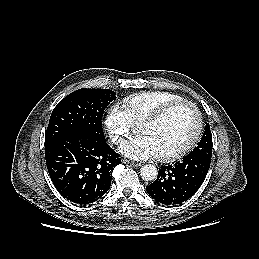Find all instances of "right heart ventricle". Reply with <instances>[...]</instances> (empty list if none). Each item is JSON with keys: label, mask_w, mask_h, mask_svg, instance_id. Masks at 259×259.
I'll list each match as a JSON object with an SVG mask.
<instances>
[{"label": "right heart ventricle", "mask_w": 259, "mask_h": 259, "mask_svg": "<svg viewBox=\"0 0 259 259\" xmlns=\"http://www.w3.org/2000/svg\"><path fill=\"white\" fill-rule=\"evenodd\" d=\"M179 100L184 99L174 93L165 91H145L125 97L124 104L132 121L139 123L164 105Z\"/></svg>", "instance_id": "1"}]
</instances>
